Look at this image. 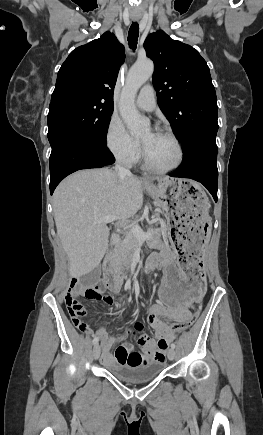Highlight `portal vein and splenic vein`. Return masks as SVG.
<instances>
[{"label":"portal vein and splenic vein","mask_w":263,"mask_h":435,"mask_svg":"<svg viewBox=\"0 0 263 435\" xmlns=\"http://www.w3.org/2000/svg\"><path fill=\"white\" fill-rule=\"evenodd\" d=\"M122 221V222H127V219H119L115 216H107L102 218L101 220L95 221V223H104V224H108L111 223L113 221ZM131 227V232L139 239V240H147L150 239V237L152 236V233L150 231L148 232H144L141 227L137 224H132L130 225Z\"/></svg>","instance_id":"obj_1"}]
</instances>
